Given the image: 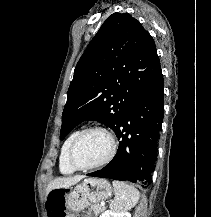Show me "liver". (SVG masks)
Instances as JSON below:
<instances>
[{
  "mask_svg": "<svg viewBox=\"0 0 211 217\" xmlns=\"http://www.w3.org/2000/svg\"><path fill=\"white\" fill-rule=\"evenodd\" d=\"M84 176L81 175H76L73 177H63V178H56L52 182L48 184L47 187V194L54 190V189H59V188H67L70 186H73L77 184L80 180H82Z\"/></svg>",
  "mask_w": 211,
  "mask_h": 217,
  "instance_id": "liver-1",
  "label": "liver"
}]
</instances>
